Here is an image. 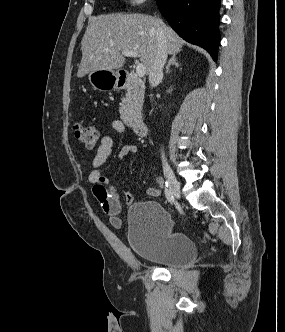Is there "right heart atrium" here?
Segmentation results:
<instances>
[{
    "label": "right heart atrium",
    "instance_id": "right-heart-atrium-1",
    "mask_svg": "<svg viewBox=\"0 0 285 332\" xmlns=\"http://www.w3.org/2000/svg\"><path fill=\"white\" fill-rule=\"evenodd\" d=\"M147 0H128L129 4L132 6V7H138L142 4H144Z\"/></svg>",
    "mask_w": 285,
    "mask_h": 332
}]
</instances>
